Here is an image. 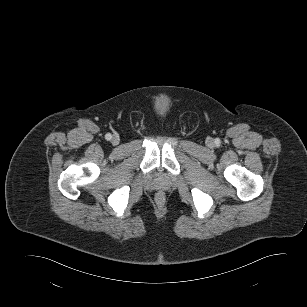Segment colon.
I'll return each instance as SVG.
<instances>
[{"mask_svg":"<svg viewBox=\"0 0 307 307\" xmlns=\"http://www.w3.org/2000/svg\"><path fill=\"white\" fill-rule=\"evenodd\" d=\"M158 198H159V199H163V195H162V194H159V195H158Z\"/></svg>","mask_w":307,"mask_h":307,"instance_id":"1","label":"colon"}]
</instances>
